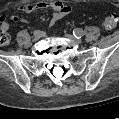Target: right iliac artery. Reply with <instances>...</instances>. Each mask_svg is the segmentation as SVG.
I'll use <instances>...</instances> for the list:
<instances>
[{"instance_id":"obj_1","label":"right iliac artery","mask_w":119,"mask_h":119,"mask_svg":"<svg viewBox=\"0 0 119 119\" xmlns=\"http://www.w3.org/2000/svg\"><path fill=\"white\" fill-rule=\"evenodd\" d=\"M34 34H35L36 36H39V35L41 34V31H40L39 29H36V30L34 31Z\"/></svg>"}]
</instances>
